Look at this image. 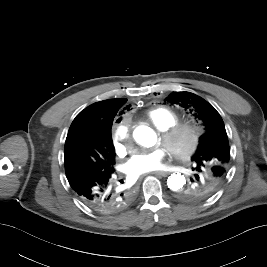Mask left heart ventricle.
<instances>
[{
  "label": "left heart ventricle",
  "instance_id": "left-heart-ventricle-1",
  "mask_svg": "<svg viewBox=\"0 0 267 267\" xmlns=\"http://www.w3.org/2000/svg\"><path fill=\"white\" fill-rule=\"evenodd\" d=\"M188 143L187 135L183 134L177 139V144L179 147H184Z\"/></svg>",
  "mask_w": 267,
  "mask_h": 267
}]
</instances>
